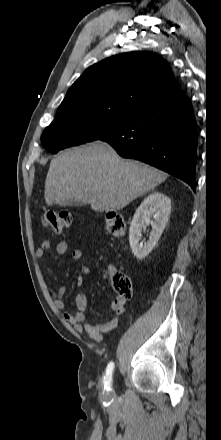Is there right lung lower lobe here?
I'll list each match as a JSON object with an SVG mask.
<instances>
[{"mask_svg":"<svg viewBox=\"0 0 221 440\" xmlns=\"http://www.w3.org/2000/svg\"><path fill=\"white\" fill-rule=\"evenodd\" d=\"M99 140L124 158L140 160L180 178L195 191L196 123L183 91L143 104Z\"/></svg>","mask_w":221,"mask_h":440,"instance_id":"98d812e1","label":"right lung lower lobe"}]
</instances>
